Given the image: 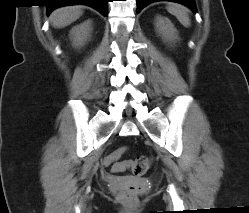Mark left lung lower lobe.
I'll return each instance as SVG.
<instances>
[{"label": "left lung lower lobe", "mask_w": 249, "mask_h": 213, "mask_svg": "<svg viewBox=\"0 0 249 213\" xmlns=\"http://www.w3.org/2000/svg\"><path fill=\"white\" fill-rule=\"evenodd\" d=\"M155 1H162V0H137V4H138L137 13H139L141 9L144 8L146 5H148L149 3L155 2ZM166 1L182 3L190 7L193 11H196L194 0H166Z\"/></svg>", "instance_id": "0a47b994"}]
</instances>
